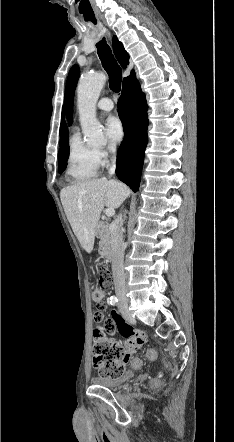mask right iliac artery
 Wrapping results in <instances>:
<instances>
[{
  "label": "right iliac artery",
  "instance_id": "obj_1",
  "mask_svg": "<svg viewBox=\"0 0 234 442\" xmlns=\"http://www.w3.org/2000/svg\"><path fill=\"white\" fill-rule=\"evenodd\" d=\"M117 303H118V299H117V297H115V296H111V297H110V304L113 305V306H116Z\"/></svg>",
  "mask_w": 234,
  "mask_h": 442
}]
</instances>
